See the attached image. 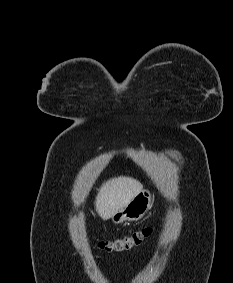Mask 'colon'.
<instances>
[{"label":"colon","mask_w":233,"mask_h":283,"mask_svg":"<svg viewBox=\"0 0 233 283\" xmlns=\"http://www.w3.org/2000/svg\"><path fill=\"white\" fill-rule=\"evenodd\" d=\"M152 227H144L126 235L100 243V248L113 253L128 251L139 246L150 234Z\"/></svg>","instance_id":"obj_1"}]
</instances>
